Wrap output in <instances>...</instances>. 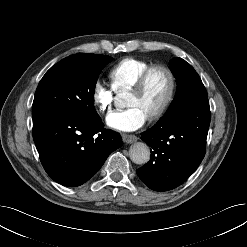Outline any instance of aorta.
Segmentation results:
<instances>
[{"label":"aorta","mask_w":247,"mask_h":247,"mask_svg":"<svg viewBox=\"0 0 247 247\" xmlns=\"http://www.w3.org/2000/svg\"><path fill=\"white\" fill-rule=\"evenodd\" d=\"M129 156L135 164H146L150 159V149L143 142H136L129 149Z\"/></svg>","instance_id":"762f6f07"}]
</instances>
